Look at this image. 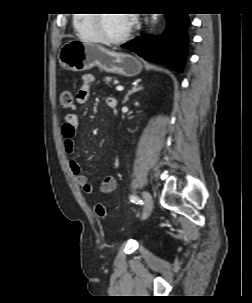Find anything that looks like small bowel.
Here are the masks:
<instances>
[{"label": "small bowel", "instance_id": "small-bowel-1", "mask_svg": "<svg viewBox=\"0 0 252 303\" xmlns=\"http://www.w3.org/2000/svg\"><path fill=\"white\" fill-rule=\"evenodd\" d=\"M95 82V76L91 73H85L82 75L81 86L76 93V100L79 104H85L90 97V89ZM106 104L110 107V104L116 105V100L112 96L105 98ZM79 129V120L74 113H68L65 116L64 123L62 125L63 147L65 151L72 155L75 150V137ZM70 172L75 182L81 187L82 191L86 195H91L94 192L93 185L88 181L87 176L82 172V168L79 163L74 159L68 160ZM117 181L112 175L104 177L99 185V191L102 194H108L116 189Z\"/></svg>", "mask_w": 252, "mask_h": 303}]
</instances>
